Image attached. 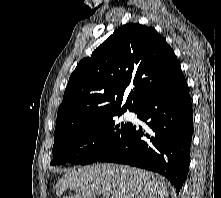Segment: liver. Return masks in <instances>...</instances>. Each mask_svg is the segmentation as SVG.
<instances>
[{
	"mask_svg": "<svg viewBox=\"0 0 221 198\" xmlns=\"http://www.w3.org/2000/svg\"><path fill=\"white\" fill-rule=\"evenodd\" d=\"M65 198H168L165 179L155 173L126 165L97 164L68 170L56 186ZM71 191H74L73 195Z\"/></svg>",
	"mask_w": 221,
	"mask_h": 198,
	"instance_id": "6515ba94",
	"label": "liver"
}]
</instances>
